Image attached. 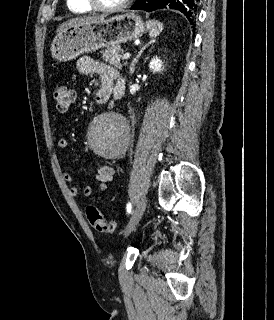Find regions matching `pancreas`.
I'll list each match as a JSON object with an SVG mask.
<instances>
[{"mask_svg":"<svg viewBox=\"0 0 274 320\" xmlns=\"http://www.w3.org/2000/svg\"><path fill=\"white\" fill-rule=\"evenodd\" d=\"M123 50L119 48V46H112V48H107V50H102V58L103 60H106L108 64H113L115 68H123V66H126V64H120V56L122 54Z\"/></svg>","mask_w":274,"mask_h":320,"instance_id":"obj_1","label":"pancreas"}]
</instances>
